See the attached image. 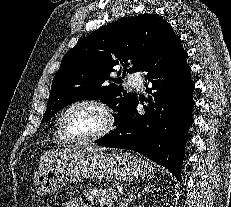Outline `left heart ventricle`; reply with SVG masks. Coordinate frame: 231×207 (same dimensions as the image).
Segmentation results:
<instances>
[{
  "label": "left heart ventricle",
  "instance_id": "left-heart-ventricle-1",
  "mask_svg": "<svg viewBox=\"0 0 231 207\" xmlns=\"http://www.w3.org/2000/svg\"><path fill=\"white\" fill-rule=\"evenodd\" d=\"M66 125L71 135L86 137L103 127L104 116L98 108L82 104L74 107L68 113Z\"/></svg>",
  "mask_w": 231,
  "mask_h": 207
}]
</instances>
